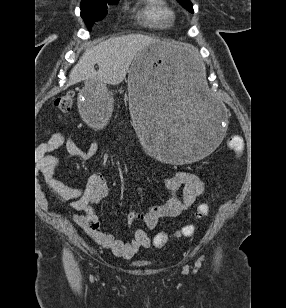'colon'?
<instances>
[{"mask_svg":"<svg viewBox=\"0 0 286 308\" xmlns=\"http://www.w3.org/2000/svg\"><path fill=\"white\" fill-rule=\"evenodd\" d=\"M74 102V93L67 92L61 96H59L55 101L56 109L62 114L68 113ZM228 147L237 155H241L244 150V141L240 135H232L228 139ZM209 206L207 204L199 205L197 209V215L199 217H203L208 215ZM194 233V227L192 225H187L182 229V235L191 236ZM168 237L165 233H158L153 238V244L156 248H162L166 245Z\"/></svg>","mask_w":286,"mask_h":308,"instance_id":"colon-1","label":"colon"}]
</instances>
